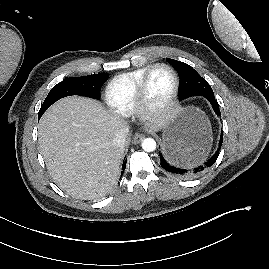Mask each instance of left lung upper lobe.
<instances>
[{
	"label": "left lung upper lobe",
	"mask_w": 269,
	"mask_h": 269,
	"mask_svg": "<svg viewBox=\"0 0 269 269\" xmlns=\"http://www.w3.org/2000/svg\"><path fill=\"white\" fill-rule=\"evenodd\" d=\"M166 60L178 72L180 78V99H185L191 96L214 94L207 81L201 77L190 65L169 58Z\"/></svg>",
	"instance_id": "5c2ea615"
}]
</instances>
